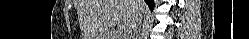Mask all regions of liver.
<instances>
[{"instance_id":"1","label":"liver","mask_w":249,"mask_h":39,"mask_svg":"<svg viewBox=\"0 0 249 39\" xmlns=\"http://www.w3.org/2000/svg\"><path fill=\"white\" fill-rule=\"evenodd\" d=\"M140 5L141 11L144 10L143 0ZM137 10L133 0H81L79 17L84 37L102 39L112 26L120 22L128 29Z\"/></svg>"}]
</instances>
